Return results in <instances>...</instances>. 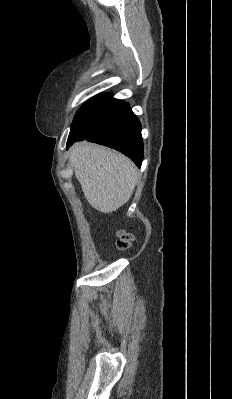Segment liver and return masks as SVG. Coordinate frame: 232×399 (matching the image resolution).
I'll list each match as a JSON object with an SVG mask.
<instances>
[{
  "instance_id": "obj_1",
  "label": "liver",
  "mask_w": 232,
  "mask_h": 399,
  "mask_svg": "<svg viewBox=\"0 0 232 399\" xmlns=\"http://www.w3.org/2000/svg\"><path fill=\"white\" fill-rule=\"evenodd\" d=\"M69 152L75 176L92 207L110 213L130 200L139 174L129 158L88 142H77Z\"/></svg>"
}]
</instances>
